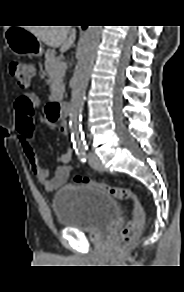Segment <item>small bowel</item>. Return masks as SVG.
I'll return each instance as SVG.
<instances>
[{
  "instance_id": "1",
  "label": "small bowel",
  "mask_w": 184,
  "mask_h": 292,
  "mask_svg": "<svg viewBox=\"0 0 184 292\" xmlns=\"http://www.w3.org/2000/svg\"><path fill=\"white\" fill-rule=\"evenodd\" d=\"M17 130L18 137L23 151L28 159L30 169L44 188L47 191H54L64 185L68 181L72 172V168L68 164L72 157V149L68 148L65 153L55 158V161L59 163V165L50 175L49 171L40 165L38 157L35 153V149L33 147V142L35 139L34 128L29 131H23L17 124ZM58 130L62 134L68 133V129L64 124H59Z\"/></svg>"
}]
</instances>
